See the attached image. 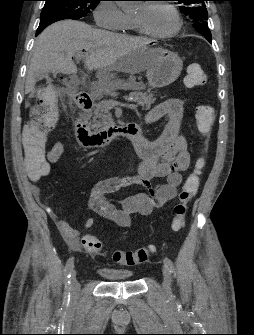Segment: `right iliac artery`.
Returning <instances> with one entry per match:
<instances>
[{
    "label": "right iliac artery",
    "instance_id": "82829eb1",
    "mask_svg": "<svg viewBox=\"0 0 254 335\" xmlns=\"http://www.w3.org/2000/svg\"><path fill=\"white\" fill-rule=\"evenodd\" d=\"M74 268V258L71 257L68 259L65 266V293H64V302L68 303L70 300V291H71V274Z\"/></svg>",
    "mask_w": 254,
    "mask_h": 335
}]
</instances>
